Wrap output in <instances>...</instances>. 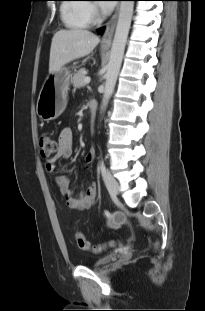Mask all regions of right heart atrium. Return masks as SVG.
<instances>
[{
    "label": "right heart atrium",
    "mask_w": 205,
    "mask_h": 311,
    "mask_svg": "<svg viewBox=\"0 0 205 311\" xmlns=\"http://www.w3.org/2000/svg\"><path fill=\"white\" fill-rule=\"evenodd\" d=\"M88 12H89L90 18L92 20H95V19L99 18V11H98V8L95 5H89L88 6Z\"/></svg>",
    "instance_id": "d8ad5b80"
}]
</instances>
